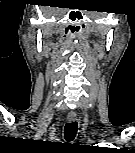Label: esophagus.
<instances>
[{
    "label": "esophagus",
    "mask_w": 135,
    "mask_h": 153,
    "mask_svg": "<svg viewBox=\"0 0 135 153\" xmlns=\"http://www.w3.org/2000/svg\"><path fill=\"white\" fill-rule=\"evenodd\" d=\"M67 119H68L69 122H74V121L77 120V116L74 113H69L68 116H67Z\"/></svg>",
    "instance_id": "obj_1"
}]
</instances>
